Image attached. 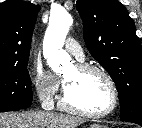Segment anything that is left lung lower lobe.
I'll list each match as a JSON object with an SVG mask.
<instances>
[{
    "label": "left lung lower lobe",
    "mask_w": 142,
    "mask_h": 128,
    "mask_svg": "<svg viewBox=\"0 0 142 128\" xmlns=\"http://www.w3.org/2000/svg\"><path fill=\"white\" fill-rule=\"evenodd\" d=\"M127 122H133V123H136V124H139L140 126H142V121H127Z\"/></svg>",
    "instance_id": "0a47b994"
}]
</instances>
